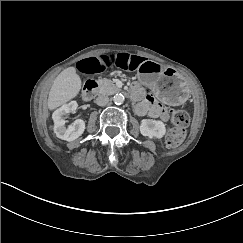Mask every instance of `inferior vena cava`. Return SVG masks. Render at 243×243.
Returning a JSON list of instances; mask_svg holds the SVG:
<instances>
[{"mask_svg":"<svg viewBox=\"0 0 243 243\" xmlns=\"http://www.w3.org/2000/svg\"><path fill=\"white\" fill-rule=\"evenodd\" d=\"M109 102V98L105 95H99L96 99H95V103L98 106H106Z\"/></svg>","mask_w":243,"mask_h":243,"instance_id":"1","label":"inferior vena cava"}]
</instances>
